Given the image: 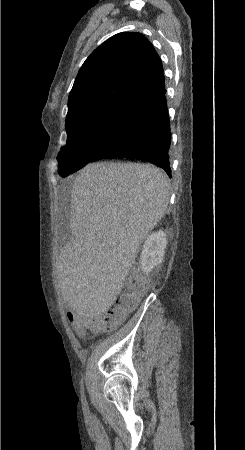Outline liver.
<instances>
[{
    "instance_id": "1",
    "label": "liver",
    "mask_w": 245,
    "mask_h": 450,
    "mask_svg": "<svg viewBox=\"0 0 245 450\" xmlns=\"http://www.w3.org/2000/svg\"><path fill=\"white\" fill-rule=\"evenodd\" d=\"M169 197L166 176L150 164L100 162L81 170L71 191L73 238L57 264L69 306L97 316L113 305Z\"/></svg>"
}]
</instances>
